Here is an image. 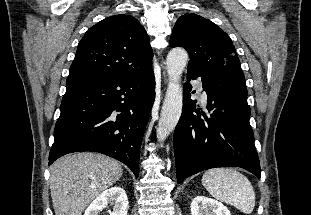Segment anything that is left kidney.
<instances>
[{"label": "left kidney", "mask_w": 311, "mask_h": 215, "mask_svg": "<svg viewBox=\"0 0 311 215\" xmlns=\"http://www.w3.org/2000/svg\"><path fill=\"white\" fill-rule=\"evenodd\" d=\"M191 215H231V213L221 202L197 196L191 202Z\"/></svg>", "instance_id": "5707ae66"}]
</instances>
